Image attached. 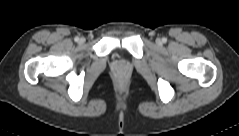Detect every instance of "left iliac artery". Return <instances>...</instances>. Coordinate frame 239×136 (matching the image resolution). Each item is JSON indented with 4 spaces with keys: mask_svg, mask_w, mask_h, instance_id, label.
<instances>
[{
    "mask_svg": "<svg viewBox=\"0 0 239 136\" xmlns=\"http://www.w3.org/2000/svg\"><path fill=\"white\" fill-rule=\"evenodd\" d=\"M162 42H163V43H166V42H167V38H165V37L162 38Z\"/></svg>",
    "mask_w": 239,
    "mask_h": 136,
    "instance_id": "1",
    "label": "left iliac artery"
}]
</instances>
